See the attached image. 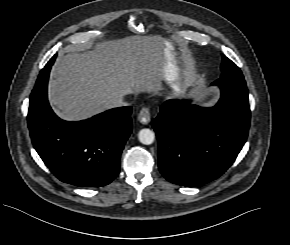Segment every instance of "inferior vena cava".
<instances>
[{
    "label": "inferior vena cava",
    "mask_w": 290,
    "mask_h": 245,
    "mask_svg": "<svg viewBox=\"0 0 290 245\" xmlns=\"http://www.w3.org/2000/svg\"><path fill=\"white\" fill-rule=\"evenodd\" d=\"M111 104L112 107H122L128 105V103L123 100L122 96L115 98Z\"/></svg>",
    "instance_id": "obj_1"
}]
</instances>
